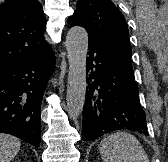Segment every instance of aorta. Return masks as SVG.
<instances>
[{
  "mask_svg": "<svg viewBox=\"0 0 168 162\" xmlns=\"http://www.w3.org/2000/svg\"><path fill=\"white\" fill-rule=\"evenodd\" d=\"M67 58L69 62L67 85V111L73 120L81 114L86 95V58L88 34L83 27L70 28L66 36Z\"/></svg>",
  "mask_w": 168,
  "mask_h": 162,
  "instance_id": "aorta-1",
  "label": "aorta"
}]
</instances>
